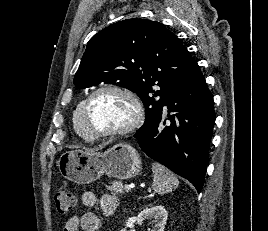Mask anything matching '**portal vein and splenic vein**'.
<instances>
[{"label":"portal vein and splenic vein","instance_id":"portal-vein-and-splenic-vein-1","mask_svg":"<svg viewBox=\"0 0 268 231\" xmlns=\"http://www.w3.org/2000/svg\"><path fill=\"white\" fill-rule=\"evenodd\" d=\"M133 187H134V185H126V186H125V190H126V191H130L131 188H133Z\"/></svg>","mask_w":268,"mask_h":231}]
</instances>
